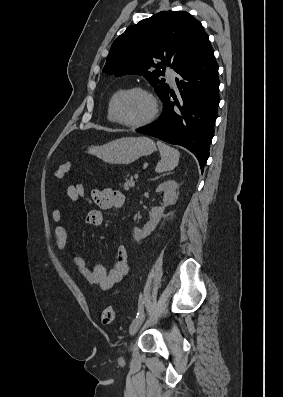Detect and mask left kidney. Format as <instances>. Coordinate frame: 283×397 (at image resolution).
Wrapping results in <instances>:
<instances>
[{
	"mask_svg": "<svg viewBox=\"0 0 283 397\" xmlns=\"http://www.w3.org/2000/svg\"><path fill=\"white\" fill-rule=\"evenodd\" d=\"M177 189L178 184L174 180H167L157 187L156 192L164 193V204L162 207H152L150 220L144 225L142 229H134L133 236L136 241H140L146 238L151 234L152 231H154L161 218L164 216L165 207L169 205H174L176 203L178 198Z\"/></svg>",
	"mask_w": 283,
	"mask_h": 397,
	"instance_id": "left-kidney-1",
	"label": "left kidney"
}]
</instances>
